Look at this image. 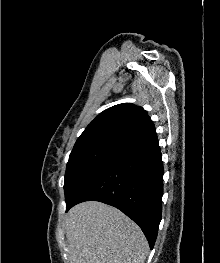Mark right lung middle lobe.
Returning a JSON list of instances; mask_svg holds the SVG:
<instances>
[{"label":"right lung middle lobe","mask_w":220,"mask_h":263,"mask_svg":"<svg viewBox=\"0 0 220 263\" xmlns=\"http://www.w3.org/2000/svg\"><path fill=\"white\" fill-rule=\"evenodd\" d=\"M119 152L114 149L72 151L65 173L66 204L73 202L82 188Z\"/></svg>","instance_id":"right-lung-middle-lobe-1"}]
</instances>
